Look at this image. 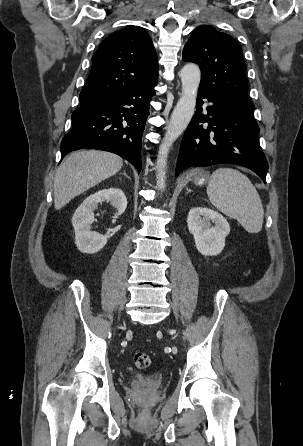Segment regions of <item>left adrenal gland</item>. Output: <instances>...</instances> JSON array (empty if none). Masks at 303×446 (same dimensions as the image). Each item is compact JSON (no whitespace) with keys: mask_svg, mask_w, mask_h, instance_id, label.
I'll list each match as a JSON object with an SVG mask.
<instances>
[{"mask_svg":"<svg viewBox=\"0 0 303 446\" xmlns=\"http://www.w3.org/2000/svg\"><path fill=\"white\" fill-rule=\"evenodd\" d=\"M186 190H187L186 194H188L189 192H191V190H190V189H188V188H187Z\"/></svg>","mask_w":303,"mask_h":446,"instance_id":"1","label":"left adrenal gland"}]
</instances>
